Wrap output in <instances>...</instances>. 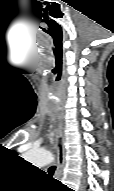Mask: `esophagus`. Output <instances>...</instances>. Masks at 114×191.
<instances>
[{"instance_id":"1","label":"esophagus","mask_w":114,"mask_h":191,"mask_svg":"<svg viewBox=\"0 0 114 191\" xmlns=\"http://www.w3.org/2000/svg\"><path fill=\"white\" fill-rule=\"evenodd\" d=\"M56 150H57V168L55 176L57 179L61 177L62 169L65 161L64 134L62 125L59 124L56 135Z\"/></svg>"}]
</instances>
